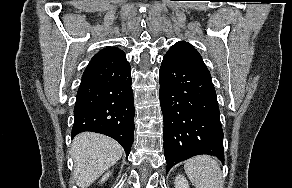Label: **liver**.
I'll use <instances>...</instances> for the list:
<instances>
[{
  "mask_svg": "<svg viewBox=\"0 0 292 188\" xmlns=\"http://www.w3.org/2000/svg\"><path fill=\"white\" fill-rule=\"evenodd\" d=\"M123 148L105 135L84 132L72 143L74 180L81 188H87L108 168L121 159Z\"/></svg>",
  "mask_w": 292,
  "mask_h": 188,
  "instance_id": "obj_1",
  "label": "liver"
}]
</instances>
